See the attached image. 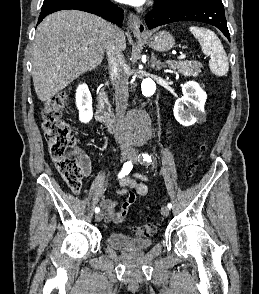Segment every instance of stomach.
I'll use <instances>...</instances> for the list:
<instances>
[{"label":"stomach","instance_id":"1","mask_svg":"<svg viewBox=\"0 0 259 294\" xmlns=\"http://www.w3.org/2000/svg\"><path fill=\"white\" fill-rule=\"evenodd\" d=\"M138 39L145 41L152 49L165 52L171 50L175 45V40L169 32L160 31L145 36L136 35Z\"/></svg>","mask_w":259,"mask_h":294}]
</instances>
